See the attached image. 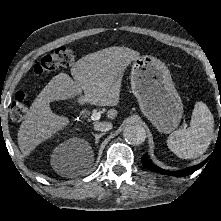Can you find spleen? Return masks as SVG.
Instances as JSON below:
<instances>
[{"label": "spleen", "instance_id": "3e777b00", "mask_svg": "<svg viewBox=\"0 0 221 221\" xmlns=\"http://www.w3.org/2000/svg\"><path fill=\"white\" fill-rule=\"evenodd\" d=\"M214 129V118L203 102H196L190 126L178 129L170 134L168 148L180 158L195 159L201 156L209 147Z\"/></svg>", "mask_w": 221, "mask_h": 221}]
</instances>
